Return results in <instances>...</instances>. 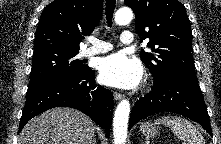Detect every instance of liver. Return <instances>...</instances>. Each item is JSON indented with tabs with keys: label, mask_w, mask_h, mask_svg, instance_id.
Returning a JSON list of instances; mask_svg holds the SVG:
<instances>
[{
	"label": "liver",
	"mask_w": 221,
	"mask_h": 144,
	"mask_svg": "<svg viewBox=\"0 0 221 144\" xmlns=\"http://www.w3.org/2000/svg\"><path fill=\"white\" fill-rule=\"evenodd\" d=\"M95 126L75 109L57 107L30 120L22 129L18 144H93Z\"/></svg>",
	"instance_id": "1"
}]
</instances>
